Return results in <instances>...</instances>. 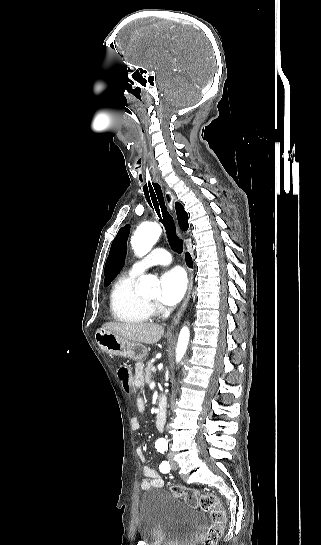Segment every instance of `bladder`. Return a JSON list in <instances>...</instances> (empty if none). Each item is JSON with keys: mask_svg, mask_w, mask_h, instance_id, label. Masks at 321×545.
Instances as JSON below:
<instances>
[{"mask_svg": "<svg viewBox=\"0 0 321 545\" xmlns=\"http://www.w3.org/2000/svg\"><path fill=\"white\" fill-rule=\"evenodd\" d=\"M205 516L170 491L150 488L140 499L138 533L148 545H191Z\"/></svg>", "mask_w": 321, "mask_h": 545, "instance_id": "obj_1", "label": "bladder"}]
</instances>
